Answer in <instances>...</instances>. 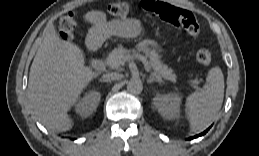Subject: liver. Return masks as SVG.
Listing matches in <instances>:
<instances>
[{
	"mask_svg": "<svg viewBox=\"0 0 259 156\" xmlns=\"http://www.w3.org/2000/svg\"><path fill=\"white\" fill-rule=\"evenodd\" d=\"M97 75L85 66L82 50L61 39L48 24L29 73L27 93L37 119L54 131L70 130L68 111Z\"/></svg>",
	"mask_w": 259,
	"mask_h": 156,
	"instance_id": "1",
	"label": "liver"
}]
</instances>
